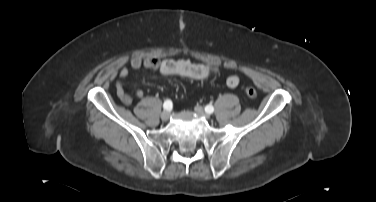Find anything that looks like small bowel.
<instances>
[{"instance_id": "obj_1", "label": "small bowel", "mask_w": 376, "mask_h": 202, "mask_svg": "<svg viewBox=\"0 0 376 202\" xmlns=\"http://www.w3.org/2000/svg\"><path fill=\"white\" fill-rule=\"evenodd\" d=\"M130 66L133 69L144 67L147 69L155 70L163 76H177L194 80L207 79L217 71V67L211 64L194 63L185 59L160 60L155 57H134L131 59ZM129 73V69L127 67H123L119 71V77L125 79L129 76ZM225 83L228 87L234 88L239 84V78L235 75L229 76L225 80ZM115 94L123 104H131L132 98L125 91L120 81H117L115 83ZM135 95L137 98H143L144 91L142 89H138L135 92Z\"/></svg>"}]
</instances>
